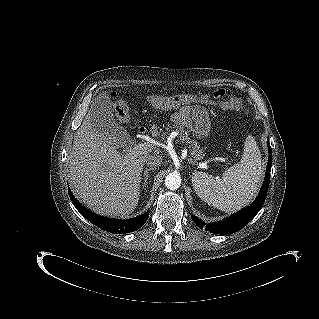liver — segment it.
<instances>
[{
	"mask_svg": "<svg viewBox=\"0 0 319 319\" xmlns=\"http://www.w3.org/2000/svg\"><path fill=\"white\" fill-rule=\"evenodd\" d=\"M105 94V92H103ZM149 153L121 154L114 140L97 133L92 112L74 135L69 155L70 187L93 212L122 217L134 211L139 200L141 174Z\"/></svg>",
	"mask_w": 319,
	"mask_h": 319,
	"instance_id": "obj_1",
	"label": "liver"
}]
</instances>
